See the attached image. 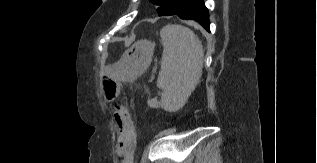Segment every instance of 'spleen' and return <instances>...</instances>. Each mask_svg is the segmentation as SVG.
I'll return each mask as SVG.
<instances>
[{"instance_id": "spleen-1", "label": "spleen", "mask_w": 317, "mask_h": 163, "mask_svg": "<svg viewBox=\"0 0 317 163\" xmlns=\"http://www.w3.org/2000/svg\"><path fill=\"white\" fill-rule=\"evenodd\" d=\"M163 54L157 86L162 89L160 106L168 112L182 108L202 75L204 50L197 35L181 25L160 31Z\"/></svg>"}]
</instances>
